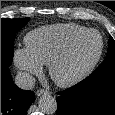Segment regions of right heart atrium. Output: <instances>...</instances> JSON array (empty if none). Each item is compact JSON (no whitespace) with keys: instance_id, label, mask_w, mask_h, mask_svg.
<instances>
[{"instance_id":"1","label":"right heart atrium","mask_w":115,"mask_h":115,"mask_svg":"<svg viewBox=\"0 0 115 115\" xmlns=\"http://www.w3.org/2000/svg\"><path fill=\"white\" fill-rule=\"evenodd\" d=\"M13 60L16 67L27 78L40 75L42 72L41 64L38 63L25 48L16 49L13 54Z\"/></svg>"}]
</instances>
